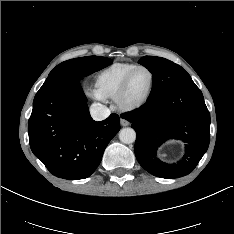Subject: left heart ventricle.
Returning a JSON list of instances; mask_svg holds the SVG:
<instances>
[{"label":"left heart ventricle","instance_id":"left-heart-ventricle-1","mask_svg":"<svg viewBox=\"0 0 234 234\" xmlns=\"http://www.w3.org/2000/svg\"><path fill=\"white\" fill-rule=\"evenodd\" d=\"M151 76L147 70H138L132 77L126 95L127 103H134L143 98L149 90Z\"/></svg>","mask_w":234,"mask_h":234}]
</instances>
